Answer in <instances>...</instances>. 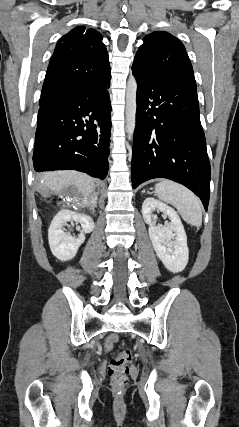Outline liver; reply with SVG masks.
<instances>
[{
	"label": "liver",
	"mask_w": 239,
	"mask_h": 427,
	"mask_svg": "<svg viewBox=\"0 0 239 427\" xmlns=\"http://www.w3.org/2000/svg\"><path fill=\"white\" fill-rule=\"evenodd\" d=\"M42 190L46 196L48 192L63 194L69 186L77 190L72 199L79 207H86L94 201L90 196L95 188V180L89 175L74 170L47 172L42 175Z\"/></svg>",
	"instance_id": "obj_1"
}]
</instances>
